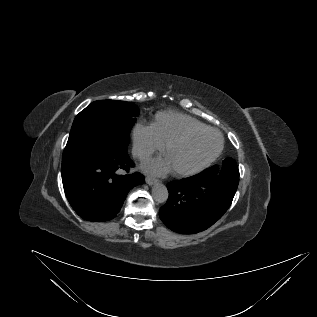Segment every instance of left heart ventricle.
I'll return each instance as SVG.
<instances>
[{
  "mask_svg": "<svg viewBox=\"0 0 317 317\" xmlns=\"http://www.w3.org/2000/svg\"><path fill=\"white\" fill-rule=\"evenodd\" d=\"M219 136L214 132H203L189 137L171 148L166 154L172 170H187L205 161L218 148Z\"/></svg>",
  "mask_w": 317,
  "mask_h": 317,
  "instance_id": "obj_1",
  "label": "left heart ventricle"
}]
</instances>
